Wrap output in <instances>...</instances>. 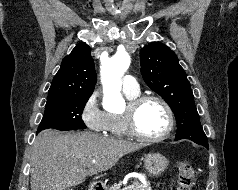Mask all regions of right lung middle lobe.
Instances as JSON below:
<instances>
[{
	"label": "right lung middle lobe",
	"instance_id": "1",
	"mask_svg": "<svg viewBox=\"0 0 238 190\" xmlns=\"http://www.w3.org/2000/svg\"><path fill=\"white\" fill-rule=\"evenodd\" d=\"M89 97V95H70L48 99L37 132L48 128L63 131L85 129L81 114Z\"/></svg>",
	"mask_w": 238,
	"mask_h": 190
}]
</instances>
